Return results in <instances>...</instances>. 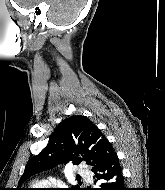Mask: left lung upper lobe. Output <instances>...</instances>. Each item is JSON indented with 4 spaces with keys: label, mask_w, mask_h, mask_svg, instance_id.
I'll return each instance as SVG.
<instances>
[{
    "label": "left lung upper lobe",
    "mask_w": 165,
    "mask_h": 190,
    "mask_svg": "<svg viewBox=\"0 0 165 190\" xmlns=\"http://www.w3.org/2000/svg\"><path fill=\"white\" fill-rule=\"evenodd\" d=\"M114 152L100 129L87 117L81 115L69 117L57 126L48 145L28 161L18 185L33 174L60 163L79 164L84 161L92 166L93 170ZM70 190L80 188L73 187Z\"/></svg>",
    "instance_id": "left-lung-upper-lobe-1"
}]
</instances>
